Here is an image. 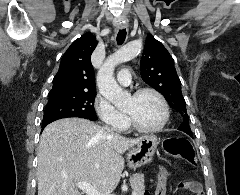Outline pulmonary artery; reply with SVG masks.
<instances>
[{
  "instance_id": "obj_1",
  "label": "pulmonary artery",
  "mask_w": 240,
  "mask_h": 195,
  "mask_svg": "<svg viewBox=\"0 0 240 195\" xmlns=\"http://www.w3.org/2000/svg\"><path fill=\"white\" fill-rule=\"evenodd\" d=\"M118 81L123 85H129L131 83L130 71H120Z\"/></svg>"
}]
</instances>
